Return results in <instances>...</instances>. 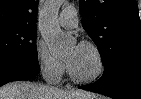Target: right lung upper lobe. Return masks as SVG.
<instances>
[{
  "label": "right lung upper lobe",
  "mask_w": 141,
  "mask_h": 99,
  "mask_svg": "<svg viewBox=\"0 0 141 99\" xmlns=\"http://www.w3.org/2000/svg\"><path fill=\"white\" fill-rule=\"evenodd\" d=\"M38 1L0 0V25L36 26Z\"/></svg>",
  "instance_id": "cb5924a9"
}]
</instances>
